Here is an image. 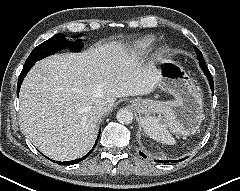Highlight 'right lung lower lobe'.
Wrapping results in <instances>:
<instances>
[{
	"instance_id": "obj_1",
	"label": "right lung lower lobe",
	"mask_w": 240,
	"mask_h": 191,
	"mask_svg": "<svg viewBox=\"0 0 240 191\" xmlns=\"http://www.w3.org/2000/svg\"><path fill=\"white\" fill-rule=\"evenodd\" d=\"M34 64H28V65H24L23 69H22V72L19 76V79H18V84H17V95L19 93V90H20V86L22 84V81L23 79L25 78L26 74L28 73V71L31 69V67L33 66ZM99 136H100V132H99ZM99 136L96 140V143L94 144V147L97 145V142H98V139H99ZM93 151V149L88 153L86 154L84 157L80 158V159H76V160H72V161H67V162H59V164H62V165H73V164H76L80 161H82L83 159H85L87 156H89V154H91V152Z\"/></svg>"
}]
</instances>
